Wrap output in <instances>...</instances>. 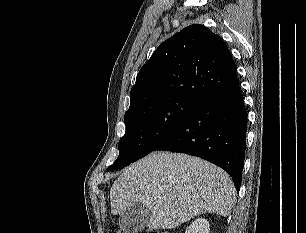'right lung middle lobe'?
I'll use <instances>...</instances> for the list:
<instances>
[{"instance_id": "obj_1", "label": "right lung middle lobe", "mask_w": 306, "mask_h": 233, "mask_svg": "<svg viewBox=\"0 0 306 233\" xmlns=\"http://www.w3.org/2000/svg\"><path fill=\"white\" fill-rule=\"evenodd\" d=\"M199 105L186 98H172L125 113L126 132L118 143L119 156L107 171L123 168L153 151Z\"/></svg>"}]
</instances>
